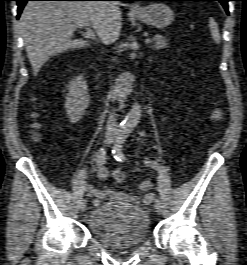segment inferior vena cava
<instances>
[{
  "mask_svg": "<svg viewBox=\"0 0 247 265\" xmlns=\"http://www.w3.org/2000/svg\"><path fill=\"white\" fill-rule=\"evenodd\" d=\"M110 97L115 99V94L113 93V91H110ZM117 127V118H116V113H115V109H112L109 112V116H108V120H107V125H106V131L107 134H111L115 131Z\"/></svg>",
  "mask_w": 247,
  "mask_h": 265,
  "instance_id": "inferior-vena-cava-1",
  "label": "inferior vena cava"
}]
</instances>
